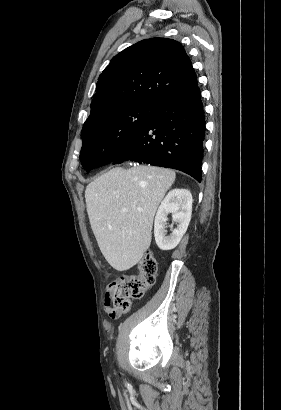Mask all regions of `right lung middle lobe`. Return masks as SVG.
Here are the masks:
<instances>
[{
  "mask_svg": "<svg viewBox=\"0 0 281 410\" xmlns=\"http://www.w3.org/2000/svg\"><path fill=\"white\" fill-rule=\"evenodd\" d=\"M156 107L128 105L102 110L81 131L80 160L87 171L113 162L143 131Z\"/></svg>",
  "mask_w": 281,
  "mask_h": 410,
  "instance_id": "right-lung-middle-lobe-1",
  "label": "right lung middle lobe"
}]
</instances>
